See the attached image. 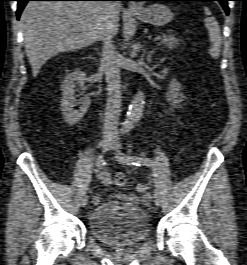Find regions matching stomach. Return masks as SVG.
I'll list each match as a JSON object with an SVG mask.
<instances>
[{
    "label": "stomach",
    "instance_id": "1",
    "mask_svg": "<svg viewBox=\"0 0 247 265\" xmlns=\"http://www.w3.org/2000/svg\"><path fill=\"white\" fill-rule=\"evenodd\" d=\"M133 15L143 22L154 26H164L168 24L174 16L168 6L159 3L152 4L139 11H134Z\"/></svg>",
    "mask_w": 247,
    "mask_h": 265
}]
</instances>
